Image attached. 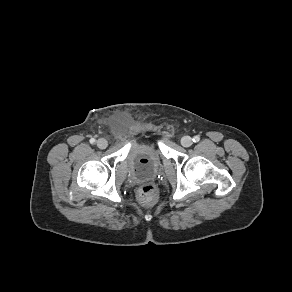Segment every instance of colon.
I'll return each mask as SVG.
<instances>
[{"mask_svg": "<svg viewBox=\"0 0 292 292\" xmlns=\"http://www.w3.org/2000/svg\"><path fill=\"white\" fill-rule=\"evenodd\" d=\"M137 196L142 205L151 206L158 199V188L152 183L144 184L139 188Z\"/></svg>", "mask_w": 292, "mask_h": 292, "instance_id": "5ec220e1", "label": "colon"}]
</instances>
